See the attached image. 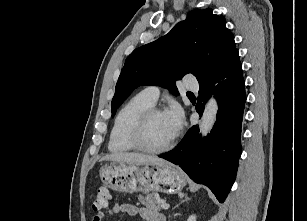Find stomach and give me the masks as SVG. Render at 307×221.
<instances>
[{
  "mask_svg": "<svg viewBox=\"0 0 307 221\" xmlns=\"http://www.w3.org/2000/svg\"><path fill=\"white\" fill-rule=\"evenodd\" d=\"M100 178L112 190L125 193L161 191L176 193L186 185L183 172L173 164L111 162L100 168Z\"/></svg>",
  "mask_w": 307,
  "mask_h": 221,
  "instance_id": "obj_1",
  "label": "stomach"
}]
</instances>
